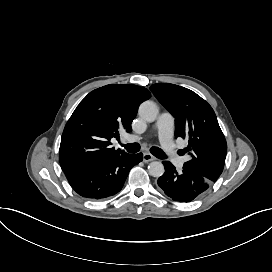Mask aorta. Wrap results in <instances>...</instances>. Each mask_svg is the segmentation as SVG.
<instances>
[{
	"instance_id": "762f6f07",
	"label": "aorta",
	"mask_w": 272,
	"mask_h": 272,
	"mask_svg": "<svg viewBox=\"0 0 272 272\" xmlns=\"http://www.w3.org/2000/svg\"><path fill=\"white\" fill-rule=\"evenodd\" d=\"M138 113L147 122H153L159 113V108L155 102L147 100L141 103ZM148 172L153 177H160L164 174L165 169L161 162L153 161L148 165Z\"/></svg>"
}]
</instances>
